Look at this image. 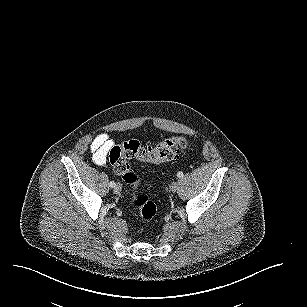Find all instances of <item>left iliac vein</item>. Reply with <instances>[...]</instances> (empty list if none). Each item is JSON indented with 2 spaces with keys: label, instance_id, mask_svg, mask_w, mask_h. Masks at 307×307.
<instances>
[{
  "label": "left iliac vein",
  "instance_id": "left-iliac-vein-1",
  "mask_svg": "<svg viewBox=\"0 0 307 307\" xmlns=\"http://www.w3.org/2000/svg\"><path fill=\"white\" fill-rule=\"evenodd\" d=\"M178 188H179V183H178V181H174V182H172V184L170 185V190H171L172 192H176Z\"/></svg>",
  "mask_w": 307,
  "mask_h": 307
}]
</instances>
